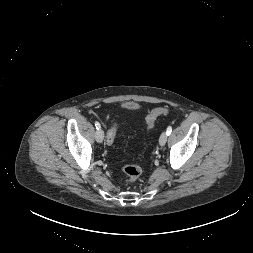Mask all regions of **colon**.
<instances>
[{"instance_id": "colon-1", "label": "colon", "mask_w": 253, "mask_h": 253, "mask_svg": "<svg viewBox=\"0 0 253 253\" xmlns=\"http://www.w3.org/2000/svg\"><path fill=\"white\" fill-rule=\"evenodd\" d=\"M169 113L166 108H155L146 117V123L148 130L152 129L156 119L161 115H167ZM117 125H113L106 135V142L108 145H112L115 140ZM122 171L126 174V183L135 182L142 174V169L138 165H124Z\"/></svg>"}]
</instances>
